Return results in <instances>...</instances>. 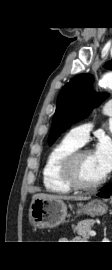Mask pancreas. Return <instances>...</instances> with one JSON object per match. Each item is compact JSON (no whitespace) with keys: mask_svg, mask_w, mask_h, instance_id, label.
<instances>
[{"mask_svg":"<svg viewBox=\"0 0 112 270\" xmlns=\"http://www.w3.org/2000/svg\"><path fill=\"white\" fill-rule=\"evenodd\" d=\"M94 225V221L91 219H86L73 225V230L78 236H81L84 240L88 239L89 233Z\"/></svg>","mask_w":112,"mask_h":270,"instance_id":"obj_1","label":"pancreas"}]
</instances>
